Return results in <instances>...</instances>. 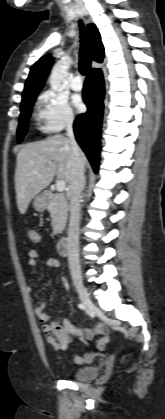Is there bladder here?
Returning <instances> with one entry per match:
<instances>
[{
  "instance_id": "31cf9c89",
  "label": "bladder",
  "mask_w": 165,
  "mask_h": 419,
  "mask_svg": "<svg viewBox=\"0 0 165 419\" xmlns=\"http://www.w3.org/2000/svg\"><path fill=\"white\" fill-rule=\"evenodd\" d=\"M99 368L97 366H87L73 371L70 377L73 380L86 381L97 377Z\"/></svg>"
}]
</instances>
